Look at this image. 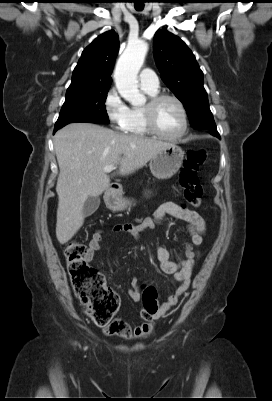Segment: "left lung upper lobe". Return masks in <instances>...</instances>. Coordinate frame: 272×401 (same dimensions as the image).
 Masks as SVG:
<instances>
[{"mask_svg":"<svg viewBox=\"0 0 272 401\" xmlns=\"http://www.w3.org/2000/svg\"><path fill=\"white\" fill-rule=\"evenodd\" d=\"M154 58L161 79L183 103L191 126L194 129L216 130L203 87V72L187 45L166 30L157 31Z\"/></svg>","mask_w":272,"mask_h":401,"instance_id":"obj_1","label":"left lung upper lobe"}]
</instances>
